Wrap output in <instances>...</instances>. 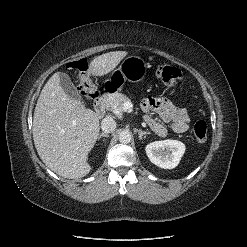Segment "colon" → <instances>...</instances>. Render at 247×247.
<instances>
[{"instance_id": "obj_1", "label": "colon", "mask_w": 247, "mask_h": 247, "mask_svg": "<svg viewBox=\"0 0 247 247\" xmlns=\"http://www.w3.org/2000/svg\"><path fill=\"white\" fill-rule=\"evenodd\" d=\"M69 68L77 71L80 76L79 91L80 94L86 99H93L96 97L97 92L92 85L88 69L89 63L87 59H79L69 63ZM157 78L170 88H174L176 85L183 81V75L181 71L168 64H159L156 68ZM193 135L197 142L204 143L208 136V127L205 121L199 120L194 124Z\"/></svg>"}]
</instances>
